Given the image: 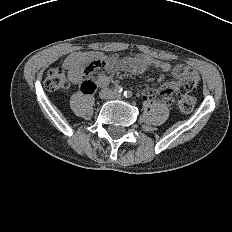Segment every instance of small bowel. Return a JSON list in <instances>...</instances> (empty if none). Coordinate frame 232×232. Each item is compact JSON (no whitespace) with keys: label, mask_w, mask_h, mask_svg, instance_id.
Segmentation results:
<instances>
[{"label":"small bowel","mask_w":232,"mask_h":232,"mask_svg":"<svg viewBox=\"0 0 232 232\" xmlns=\"http://www.w3.org/2000/svg\"><path fill=\"white\" fill-rule=\"evenodd\" d=\"M68 67V78L72 83H79L82 80V71L74 65H67ZM149 67H156L161 69L163 72H172L175 80L163 84L159 89L148 87L143 90L142 96L145 100H153L157 94H161L159 100L163 104H167L171 101V93L175 92L179 87L187 85L194 87L199 81V75L196 71L191 70L185 66L172 67L167 62H161L148 55L139 54L134 63H128L125 60L120 61L117 64L109 65L107 67L108 73H113L117 69L127 71L133 74H143ZM109 82V77L106 74H101L97 83L100 86L106 85Z\"/></svg>","instance_id":"1"}]
</instances>
